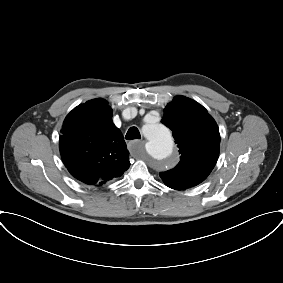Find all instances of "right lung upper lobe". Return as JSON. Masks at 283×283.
Listing matches in <instances>:
<instances>
[{"mask_svg":"<svg viewBox=\"0 0 283 283\" xmlns=\"http://www.w3.org/2000/svg\"><path fill=\"white\" fill-rule=\"evenodd\" d=\"M113 111L103 99L74 108L65 118L60 153L69 172L86 184H103L130 166L121 131L112 123Z\"/></svg>","mask_w":283,"mask_h":283,"instance_id":"obj_1","label":"right lung upper lobe"}]
</instances>
